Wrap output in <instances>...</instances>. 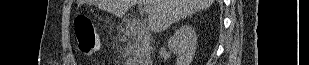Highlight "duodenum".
<instances>
[{
  "mask_svg": "<svg viewBox=\"0 0 309 65\" xmlns=\"http://www.w3.org/2000/svg\"><path fill=\"white\" fill-rule=\"evenodd\" d=\"M126 32L130 37L137 39L142 45L147 46L149 44L148 31L142 23L128 20L126 23ZM142 65H150V63L146 61Z\"/></svg>",
  "mask_w": 309,
  "mask_h": 65,
  "instance_id": "obj_1",
  "label": "duodenum"
}]
</instances>
